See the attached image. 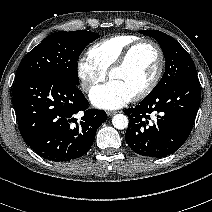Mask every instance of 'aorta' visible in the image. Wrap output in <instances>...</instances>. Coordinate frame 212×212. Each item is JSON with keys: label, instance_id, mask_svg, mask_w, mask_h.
I'll list each match as a JSON object with an SVG mask.
<instances>
[{"label": "aorta", "instance_id": "762f6f07", "mask_svg": "<svg viewBox=\"0 0 212 212\" xmlns=\"http://www.w3.org/2000/svg\"><path fill=\"white\" fill-rule=\"evenodd\" d=\"M112 124L116 129L123 130L128 127L129 120L128 117L124 114H116L112 118Z\"/></svg>", "mask_w": 212, "mask_h": 212}]
</instances>
